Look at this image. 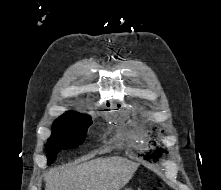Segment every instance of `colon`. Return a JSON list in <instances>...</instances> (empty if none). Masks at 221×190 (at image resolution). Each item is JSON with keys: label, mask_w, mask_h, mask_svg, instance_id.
<instances>
[{"label": "colon", "mask_w": 221, "mask_h": 190, "mask_svg": "<svg viewBox=\"0 0 221 190\" xmlns=\"http://www.w3.org/2000/svg\"><path fill=\"white\" fill-rule=\"evenodd\" d=\"M151 190H162V186L153 187Z\"/></svg>", "instance_id": "obj_1"}]
</instances>
